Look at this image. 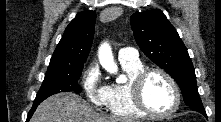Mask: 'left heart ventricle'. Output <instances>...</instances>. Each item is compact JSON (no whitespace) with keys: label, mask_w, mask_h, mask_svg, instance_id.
Instances as JSON below:
<instances>
[{"label":"left heart ventricle","mask_w":221,"mask_h":122,"mask_svg":"<svg viewBox=\"0 0 221 122\" xmlns=\"http://www.w3.org/2000/svg\"><path fill=\"white\" fill-rule=\"evenodd\" d=\"M146 104L155 112L163 113L174 105V93L168 81L159 74H151L143 87Z\"/></svg>","instance_id":"obj_1"}]
</instances>
